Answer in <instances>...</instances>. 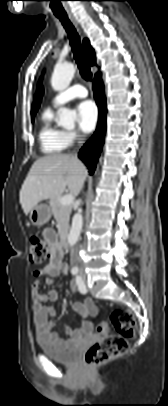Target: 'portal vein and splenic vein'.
I'll return each instance as SVG.
<instances>
[{
	"label": "portal vein and splenic vein",
	"instance_id": "obj_1",
	"mask_svg": "<svg viewBox=\"0 0 168 406\" xmlns=\"http://www.w3.org/2000/svg\"><path fill=\"white\" fill-rule=\"evenodd\" d=\"M74 197L72 194H67L65 196H63L60 200L61 205L65 206V205H70L73 203Z\"/></svg>",
	"mask_w": 168,
	"mask_h": 406
}]
</instances>
